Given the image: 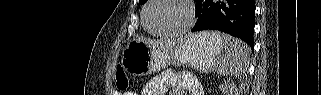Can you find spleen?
I'll use <instances>...</instances> for the list:
<instances>
[{"mask_svg": "<svg viewBox=\"0 0 321 95\" xmlns=\"http://www.w3.org/2000/svg\"><path fill=\"white\" fill-rule=\"evenodd\" d=\"M221 41L223 50L219 57L216 71L220 75H242L249 64V47L241 40L227 34L206 32Z\"/></svg>", "mask_w": 321, "mask_h": 95, "instance_id": "obj_1", "label": "spleen"}]
</instances>
